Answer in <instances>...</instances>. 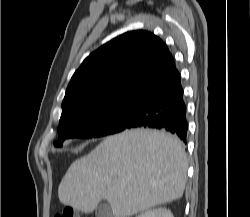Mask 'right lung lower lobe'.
Segmentation results:
<instances>
[{
    "label": "right lung lower lobe",
    "mask_w": 250,
    "mask_h": 217,
    "mask_svg": "<svg viewBox=\"0 0 250 217\" xmlns=\"http://www.w3.org/2000/svg\"><path fill=\"white\" fill-rule=\"evenodd\" d=\"M163 129L186 143L188 122L180 75L176 70L168 79L145 91L136 99V109L126 129Z\"/></svg>",
    "instance_id": "obj_1"
}]
</instances>
